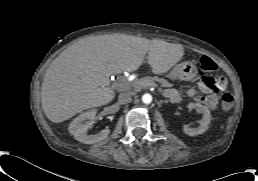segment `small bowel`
Returning <instances> with one entry per match:
<instances>
[{
	"label": "small bowel",
	"mask_w": 258,
	"mask_h": 181,
	"mask_svg": "<svg viewBox=\"0 0 258 181\" xmlns=\"http://www.w3.org/2000/svg\"><path fill=\"white\" fill-rule=\"evenodd\" d=\"M215 85L219 89H224V82L222 79L214 80L212 77H204L198 84L199 91L203 96H197V91L195 89H188L184 92L174 90L170 93L171 99H178L182 96L189 98H196L197 100L203 101V103L213 109L217 106L219 102V95L214 92L212 86Z\"/></svg>",
	"instance_id": "c3829d8e"
}]
</instances>
